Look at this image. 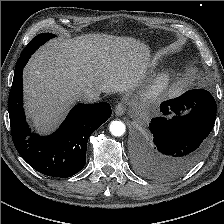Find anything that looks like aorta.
Returning <instances> with one entry per match:
<instances>
[{
  "label": "aorta",
  "instance_id": "aorta-1",
  "mask_svg": "<svg viewBox=\"0 0 224 224\" xmlns=\"http://www.w3.org/2000/svg\"><path fill=\"white\" fill-rule=\"evenodd\" d=\"M109 130L114 136H122L125 133L126 127L121 121H112Z\"/></svg>",
  "mask_w": 224,
  "mask_h": 224
}]
</instances>
